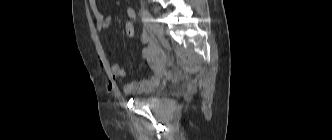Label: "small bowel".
<instances>
[{"instance_id": "small-bowel-1", "label": "small bowel", "mask_w": 332, "mask_h": 140, "mask_svg": "<svg viewBox=\"0 0 332 140\" xmlns=\"http://www.w3.org/2000/svg\"><path fill=\"white\" fill-rule=\"evenodd\" d=\"M89 1V6L91 9V12L93 14V17L96 21V29L97 31L101 34L104 32H110L111 27H112V18L110 16H104L100 10L98 9L97 5V0H88ZM126 14L128 15L129 18H135L136 17V12L134 8L131 6L127 5L126 6ZM141 40L144 44L149 43V37L147 34H143L141 37ZM152 53L151 47H146L143 50V57L148 58ZM111 74L114 79H119V80H124L126 78V72L125 70L120 67L118 64H113L111 66ZM149 80H141V81H133L129 82L124 85V92L126 94L132 95L135 93H141Z\"/></svg>"}]
</instances>
